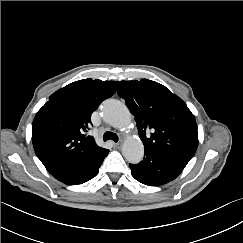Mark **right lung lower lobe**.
I'll return each mask as SVG.
<instances>
[{
    "label": "right lung lower lobe",
    "instance_id": "1",
    "mask_svg": "<svg viewBox=\"0 0 243 243\" xmlns=\"http://www.w3.org/2000/svg\"><path fill=\"white\" fill-rule=\"evenodd\" d=\"M108 152L109 150L106 149L93 157L70 160L48 170V172L65 184H82L97 175Z\"/></svg>",
    "mask_w": 243,
    "mask_h": 243
}]
</instances>
